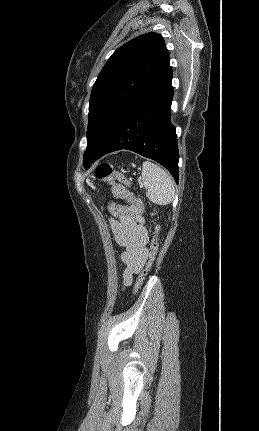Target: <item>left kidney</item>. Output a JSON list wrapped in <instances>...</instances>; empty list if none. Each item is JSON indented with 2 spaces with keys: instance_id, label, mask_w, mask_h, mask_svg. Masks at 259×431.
Instances as JSON below:
<instances>
[{
  "instance_id": "5707ae66",
  "label": "left kidney",
  "mask_w": 259,
  "mask_h": 431,
  "mask_svg": "<svg viewBox=\"0 0 259 431\" xmlns=\"http://www.w3.org/2000/svg\"><path fill=\"white\" fill-rule=\"evenodd\" d=\"M156 230H157V232H158V230H159V227H156Z\"/></svg>"
}]
</instances>
